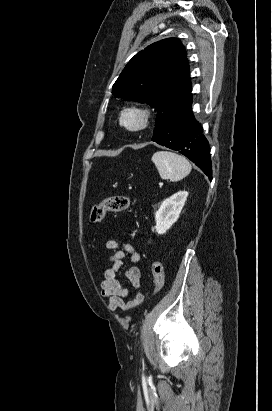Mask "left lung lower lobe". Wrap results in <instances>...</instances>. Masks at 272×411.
I'll return each instance as SVG.
<instances>
[{"mask_svg": "<svg viewBox=\"0 0 272 411\" xmlns=\"http://www.w3.org/2000/svg\"><path fill=\"white\" fill-rule=\"evenodd\" d=\"M191 104L192 99L172 115L151 140L179 151L194 162L211 180L209 143L202 134L201 125L194 118Z\"/></svg>", "mask_w": 272, "mask_h": 411, "instance_id": "obj_1", "label": "left lung lower lobe"}]
</instances>
